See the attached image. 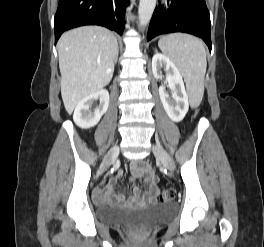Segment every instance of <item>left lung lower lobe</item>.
Segmentation results:
<instances>
[{
  "label": "left lung lower lobe",
  "instance_id": "obj_1",
  "mask_svg": "<svg viewBox=\"0 0 264 247\" xmlns=\"http://www.w3.org/2000/svg\"><path fill=\"white\" fill-rule=\"evenodd\" d=\"M169 8L159 5L152 16L147 41L160 35L184 32L204 40L211 51L210 15L205 0H167Z\"/></svg>",
  "mask_w": 264,
  "mask_h": 247
}]
</instances>
